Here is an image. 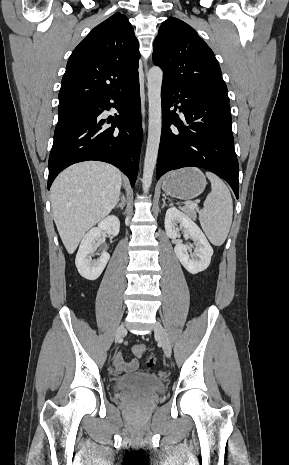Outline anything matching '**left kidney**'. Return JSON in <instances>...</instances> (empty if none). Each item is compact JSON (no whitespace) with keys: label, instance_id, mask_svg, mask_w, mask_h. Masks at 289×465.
Instances as JSON below:
<instances>
[{"label":"left kidney","instance_id":"left-kidney-1","mask_svg":"<svg viewBox=\"0 0 289 465\" xmlns=\"http://www.w3.org/2000/svg\"><path fill=\"white\" fill-rule=\"evenodd\" d=\"M178 224L180 228H178ZM181 229L194 241V246L177 244L174 248L177 258L191 274L204 271L210 264L213 248L202 230L188 215L175 207L169 208L165 215V231L167 236L169 238H176ZM192 248L193 252H191Z\"/></svg>","mask_w":289,"mask_h":465}]
</instances>
